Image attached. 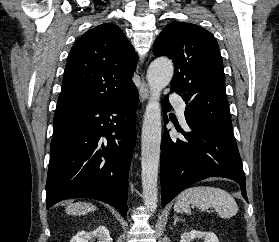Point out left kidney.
I'll use <instances>...</instances> for the list:
<instances>
[{
	"instance_id": "5707ae66",
	"label": "left kidney",
	"mask_w": 279,
	"mask_h": 242,
	"mask_svg": "<svg viewBox=\"0 0 279 242\" xmlns=\"http://www.w3.org/2000/svg\"><path fill=\"white\" fill-rule=\"evenodd\" d=\"M202 238L204 242H219L217 236L212 232H201L197 230H191L184 232L181 235L180 242H191L193 239Z\"/></svg>"
}]
</instances>
